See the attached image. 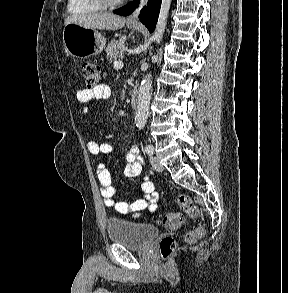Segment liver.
Masks as SVG:
<instances>
[{"label": "liver", "instance_id": "obj_1", "mask_svg": "<svg viewBox=\"0 0 288 293\" xmlns=\"http://www.w3.org/2000/svg\"><path fill=\"white\" fill-rule=\"evenodd\" d=\"M125 18L109 12L73 14L68 16L64 25L78 23L84 27L100 30H118L125 25Z\"/></svg>", "mask_w": 288, "mask_h": 293}]
</instances>
